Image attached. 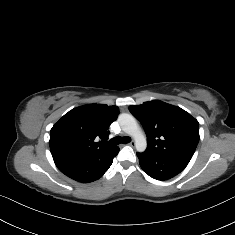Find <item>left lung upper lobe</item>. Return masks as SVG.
Listing matches in <instances>:
<instances>
[{"instance_id": "1", "label": "left lung upper lobe", "mask_w": 235, "mask_h": 235, "mask_svg": "<svg viewBox=\"0 0 235 235\" xmlns=\"http://www.w3.org/2000/svg\"><path fill=\"white\" fill-rule=\"evenodd\" d=\"M147 135V152L189 163L199 142V123L185 110L159 100L131 105Z\"/></svg>"}]
</instances>
